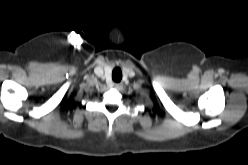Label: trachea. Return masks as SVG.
Masks as SVG:
<instances>
[{"instance_id": "3493384b", "label": "trachea", "mask_w": 248, "mask_h": 165, "mask_svg": "<svg viewBox=\"0 0 248 165\" xmlns=\"http://www.w3.org/2000/svg\"><path fill=\"white\" fill-rule=\"evenodd\" d=\"M112 79L114 82H120L122 79V71L119 67H116L113 71H112Z\"/></svg>"}]
</instances>
